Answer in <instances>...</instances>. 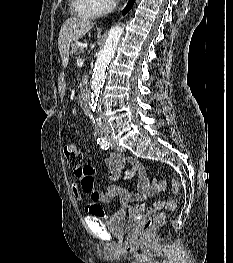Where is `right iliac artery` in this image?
Segmentation results:
<instances>
[{
	"mask_svg": "<svg viewBox=\"0 0 233 263\" xmlns=\"http://www.w3.org/2000/svg\"><path fill=\"white\" fill-rule=\"evenodd\" d=\"M97 143H98L99 147L104 149V150H107L110 147L109 143L106 140H104L103 138H98Z\"/></svg>",
	"mask_w": 233,
	"mask_h": 263,
	"instance_id": "obj_1",
	"label": "right iliac artery"
}]
</instances>
